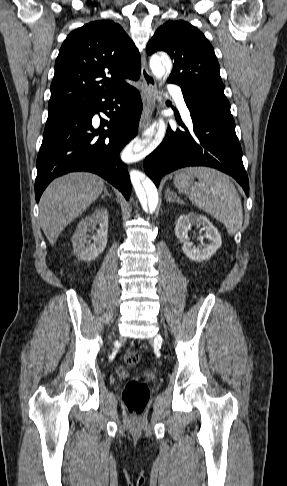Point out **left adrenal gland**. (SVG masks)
<instances>
[{"label": "left adrenal gland", "instance_id": "a2214340", "mask_svg": "<svg viewBox=\"0 0 287 486\" xmlns=\"http://www.w3.org/2000/svg\"><path fill=\"white\" fill-rule=\"evenodd\" d=\"M165 198H166V201L169 202V203L170 202H176V203H179V204L184 203V201L180 197H178L175 193L170 191V189L166 190Z\"/></svg>", "mask_w": 287, "mask_h": 486}]
</instances>
